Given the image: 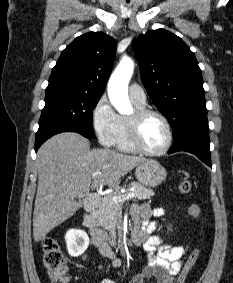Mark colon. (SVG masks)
<instances>
[{
  "label": "colon",
  "mask_w": 233,
  "mask_h": 283,
  "mask_svg": "<svg viewBox=\"0 0 233 283\" xmlns=\"http://www.w3.org/2000/svg\"><path fill=\"white\" fill-rule=\"evenodd\" d=\"M192 183L189 180H182L178 185L180 193L190 195L192 193ZM191 217L197 219L201 215V209L197 204H191L189 207ZM43 264L47 270L51 283H68L69 276L66 266V258L61 251L57 241L47 237L42 242ZM200 255V249L196 248L190 254L183 269L181 270L177 283H184L187 275L196 264Z\"/></svg>",
  "instance_id": "colon-1"
}]
</instances>
